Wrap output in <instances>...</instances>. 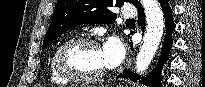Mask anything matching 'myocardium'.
<instances>
[{
	"mask_svg": "<svg viewBox=\"0 0 205 87\" xmlns=\"http://www.w3.org/2000/svg\"><path fill=\"white\" fill-rule=\"evenodd\" d=\"M87 44L101 49L99 42L92 37H77L66 40L57 47L53 54V66L59 76L71 82L93 83L99 80L105 73V66L93 75H80L67 70L62 65V55L70 47L75 45Z\"/></svg>",
	"mask_w": 205,
	"mask_h": 87,
	"instance_id": "1",
	"label": "myocardium"
}]
</instances>
